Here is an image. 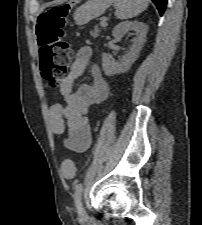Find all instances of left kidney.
Here are the masks:
<instances>
[{
  "label": "left kidney",
  "mask_w": 202,
  "mask_h": 225,
  "mask_svg": "<svg viewBox=\"0 0 202 225\" xmlns=\"http://www.w3.org/2000/svg\"><path fill=\"white\" fill-rule=\"evenodd\" d=\"M129 30L135 31L136 37L133 38L129 51L119 61L110 58L106 53L102 55V66L107 76L125 73L139 57L140 50L146 41L148 26L139 21H125L114 28L112 35L120 39L122 33Z\"/></svg>",
  "instance_id": "left-kidney-1"
}]
</instances>
